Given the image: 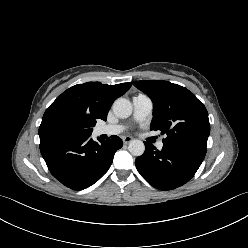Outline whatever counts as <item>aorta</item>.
<instances>
[{
    "label": "aorta",
    "mask_w": 248,
    "mask_h": 248,
    "mask_svg": "<svg viewBox=\"0 0 248 248\" xmlns=\"http://www.w3.org/2000/svg\"><path fill=\"white\" fill-rule=\"evenodd\" d=\"M132 104L128 99L118 98L113 103V112L119 118H127L132 114ZM129 152L134 156H141L145 151V145L141 140H132L128 146Z\"/></svg>",
    "instance_id": "762f6f07"
}]
</instances>
